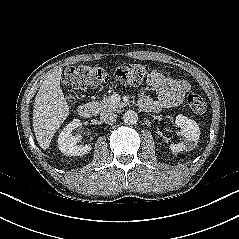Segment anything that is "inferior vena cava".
<instances>
[{
  "label": "inferior vena cava",
  "mask_w": 239,
  "mask_h": 239,
  "mask_svg": "<svg viewBox=\"0 0 239 239\" xmlns=\"http://www.w3.org/2000/svg\"><path fill=\"white\" fill-rule=\"evenodd\" d=\"M101 121L107 123V124H113L116 122L117 115L112 112H103L100 117Z\"/></svg>",
  "instance_id": "inferior-vena-cava-1"
}]
</instances>
